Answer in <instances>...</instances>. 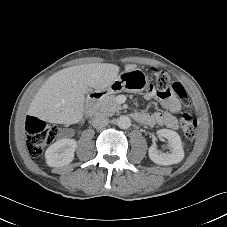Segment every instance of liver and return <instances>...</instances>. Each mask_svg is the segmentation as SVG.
<instances>
[{"label":"liver","mask_w":227,"mask_h":227,"mask_svg":"<svg viewBox=\"0 0 227 227\" xmlns=\"http://www.w3.org/2000/svg\"><path fill=\"white\" fill-rule=\"evenodd\" d=\"M136 67V64H126L125 71ZM118 73L119 67L110 63L82 64L62 69L43 84L28 112L50 123L76 124L83 118L87 89L107 88Z\"/></svg>","instance_id":"liver-1"}]
</instances>
